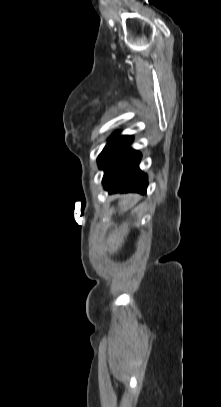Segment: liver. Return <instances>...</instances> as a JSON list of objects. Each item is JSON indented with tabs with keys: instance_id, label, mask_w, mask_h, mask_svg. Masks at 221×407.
Returning <instances> with one entry per match:
<instances>
[{
	"instance_id": "obj_1",
	"label": "liver",
	"mask_w": 221,
	"mask_h": 407,
	"mask_svg": "<svg viewBox=\"0 0 221 407\" xmlns=\"http://www.w3.org/2000/svg\"><path fill=\"white\" fill-rule=\"evenodd\" d=\"M138 198L137 194H126L121 196L119 205L121 208H127L131 202ZM130 231L129 224L127 222L123 223L114 232H111L105 240V251L110 254H115L122 248L125 238Z\"/></svg>"
}]
</instances>
